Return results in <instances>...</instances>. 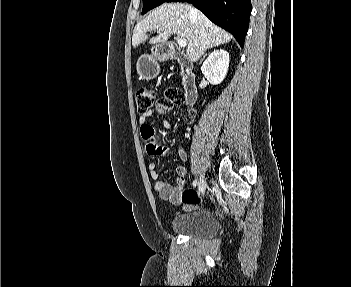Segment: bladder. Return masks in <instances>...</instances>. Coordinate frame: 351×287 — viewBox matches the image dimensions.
Returning a JSON list of instances; mask_svg holds the SVG:
<instances>
[{
    "instance_id": "bladder-1",
    "label": "bladder",
    "mask_w": 351,
    "mask_h": 287,
    "mask_svg": "<svg viewBox=\"0 0 351 287\" xmlns=\"http://www.w3.org/2000/svg\"><path fill=\"white\" fill-rule=\"evenodd\" d=\"M171 229L182 235L209 237L219 230V221L211 211L195 210L175 216Z\"/></svg>"
}]
</instances>
